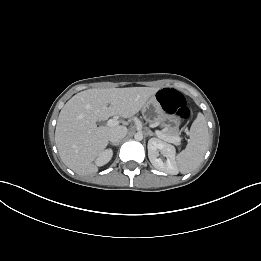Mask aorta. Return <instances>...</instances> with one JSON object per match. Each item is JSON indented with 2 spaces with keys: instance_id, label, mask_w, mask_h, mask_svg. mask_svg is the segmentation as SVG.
Returning <instances> with one entry per match:
<instances>
[{
  "instance_id": "762f6f07",
  "label": "aorta",
  "mask_w": 261,
  "mask_h": 261,
  "mask_svg": "<svg viewBox=\"0 0 261 261\" xmlns=\"http://www.w3.org/2000/svg\"><path fill=\"white\" fill-rule=\"evenodd\" d=\"M134 138L135 140L137 141H141L143 139V134L141 132H137L135 135H134Z\"/></svg>"
}]
</instances>
